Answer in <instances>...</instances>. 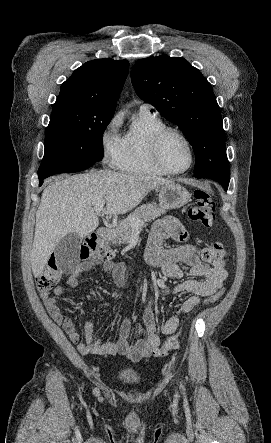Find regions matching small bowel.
Wrapping results in <instances>:
<instances>
[{
	"label": "small bowel",
	"mask_w": 271,
	"mask_h": 443,
	"mask_svg": "<svg viewBox=\"0 0 271 443\" xmlns=\"http://www.w3.org/2000/svg\"><path fill=\"white\" fill-rule=\"evenodd\" d=\"M172 238L184 244L173 248H163L164 240ZM188 233L184 226L174 217H165L156 222L147 242L145 257L153 265H159L167 278L180 279L184 275L182 266L187 267L189 279L181 282L172 289V293H189V296L180 304V313L191 312L199 303L201 297L214 294L227 277L224 269L209 267L198 255L197 248L187 243ZM90 263H83L74 270L66 281L69 287H77L81 274L90 268ZM103 270L110 273L115 283L121 288H127V277L130 269L123 263H114L106 260ZM65 287L58 286L54 290L56 296L63 294ZM41 299L51 318L77 345L83 354L123 355L132 361H139L149 356L160 345L161 336L157 332L156 321L153 315L152 302H149L143 313L145 335L132 340L131 323L124 320L120 327L119 337L115 341H102L94 338V324L87 321L83 325L84 341L75 329L72 320L62 313L56 297L49 292H41ZM179 326V317L171 315L161 327L162 335H170Z\"/></svg>",
	"instance_id": "c3829d8e"
}]
</instances>
